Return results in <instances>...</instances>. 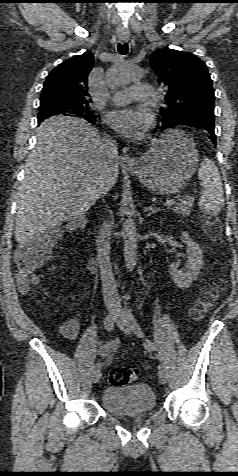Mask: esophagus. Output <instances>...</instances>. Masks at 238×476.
Listing matches in <instances>:
<instances>
[{
  "label": "esophagus",
  "instance_id": "obj_1",
  "mask_svg": "<svg viewBox=\"0 0 238 476\" xmlns=\"http://www.w3.org/2000/svg\"><path fill=\"white\" fill-rule=\"evenodd\" d=\"M119 41L121 43H124L128 40L129 35L128 34H120L119 36ZM121 163L124 166H134L135 165V159L132 156V152L129 147H124L122 150V154L120 156Z\"/></svg>",
  "mask_w": 238,
  "mask_h": 476
}]
</instances>
